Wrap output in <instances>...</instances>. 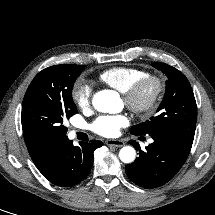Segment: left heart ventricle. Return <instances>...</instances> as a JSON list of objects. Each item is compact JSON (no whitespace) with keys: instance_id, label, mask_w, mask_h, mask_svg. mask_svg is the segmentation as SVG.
<instances>
[{"instance_id":"left-heart-ventricle-1","label":"left heart ventricle","mask_w":215,"mask_h":215,"mask_svg":"<svg viewBox=\"0 0 215 215\" xmlns=\"http://www.w3.org/2000/svg\"><path fill=\"white\" fill-rule=\"evenodd\" d=\"M150 94H151V88H147V89H145L144 92L142 93L141 98H142L143 100H146V99L150 96Z\"/></svg>"}]
</instances>
